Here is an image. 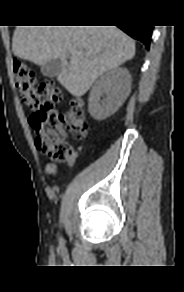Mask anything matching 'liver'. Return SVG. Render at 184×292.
Wrapping results in <instances>:
<instances>
[{"label":"liver","instance_id":"liver-1","mask_svg":"<svg viewBox=\"0 0 184 292\" xmlns=\"http://www.w3.org/2000/svg\"><path fill=\"white\" fill-rule=\"evenodd\" d=\"M12 51L40 66L60 60L58 82L81 97L99 76L134 57L135 42L116 26H17Z\"/></svg>","mask_w":184,"mask_h":292}]
</instances>
